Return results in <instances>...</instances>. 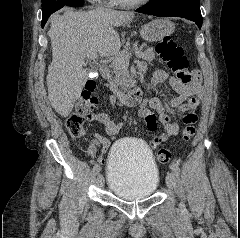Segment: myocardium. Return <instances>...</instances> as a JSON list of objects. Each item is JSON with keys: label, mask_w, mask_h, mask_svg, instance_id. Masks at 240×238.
I'll list each match as a JSON object with an SVG mask.
<instances>
[{"label": "myocardium", "mask_w": 240, "mask_h": 238, "mask_svg": "<svg viewBox=\"0 0 240 238\" xmlns=\"http://www.w3.org/2000/svg\"><path fill=\"white\" fill-rule=\"evenodd\" d=\"M114 2L125 8H134L147 4L150 0H137V1H123V0H114Z\"/></svg>", "instance_id": "f54148a6"}]
</instances>
